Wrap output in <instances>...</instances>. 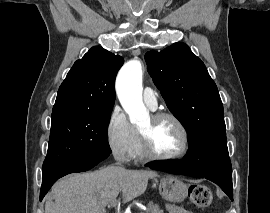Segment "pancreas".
Instances as JSON below:
<instances>
[{"label": "pancreas", "instance_id": "cf45deb5", "mask_svg": "<svg viewBox=\"0 0 270 213\" xmlns=\"http://www.w3.org/2000/svg\"><path fill=\"white\" fill-rule=\"evenodd\" d=\"M147 213H164L163 210L152 202L148 203Z\"/></svg>", "mask_w": 270, "mask_h": 213}]
</instances>
